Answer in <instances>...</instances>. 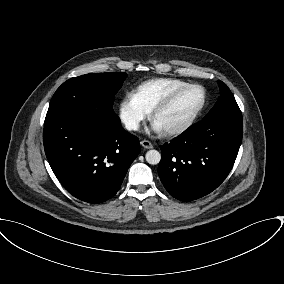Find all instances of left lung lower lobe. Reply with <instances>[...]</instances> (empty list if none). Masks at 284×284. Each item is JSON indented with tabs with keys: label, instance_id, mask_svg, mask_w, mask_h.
Wrapping results in <instances>:
<instances>
[{
	"label": "left lung lower lobe",
	"instance_id": "left-lung-lower-lobe-1",
	"mask_svg": "<svg viewBox=\"0 0 284 284\" xmlns=\"http://www.w3.org/2000/svg\"><path fill=\"white\" fill-rule=\"evenodd\" d=\"M243 135L242 117L202 120L161 146L160 179L171 196L182 201L201 198L227 177Z\"/></svg>",
	"mask_w": 284,
	"mask_h": 284
}]
</instances>
